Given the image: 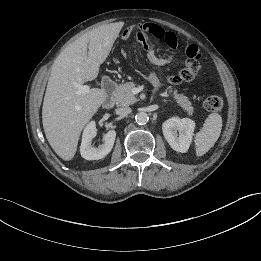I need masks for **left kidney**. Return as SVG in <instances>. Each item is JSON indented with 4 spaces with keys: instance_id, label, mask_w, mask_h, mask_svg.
Here are the masks:
<instances>
[{
    "instance_id": "obj_1",
    "label": "left kidney",
    "mask_w": 261,
    "mask_h": 261,
    "mask_svg": "<svg viewBox=\"0 0 261 261\" xmlns=\"http://www.w3.org/2000/svg\"><path fill=\"white\" fill-rule=\"evenodd\" d=\"M195 122L189 118L172 117L162 125L163 135L177 152L188 151L194 135Z\"/></svg>"
}]
</instances>
